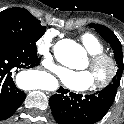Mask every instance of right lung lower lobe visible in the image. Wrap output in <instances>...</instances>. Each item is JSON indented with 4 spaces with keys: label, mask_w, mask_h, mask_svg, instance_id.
<instances>
[{
    "label": "right lung lower lobe",
    "mask_w": 124,
    "mask_h": 124,
    "mask_svg": "<svg viewBox=\"0 0 124 124\" xmlns=\"http://www.w3.org/2000/svg\"><path fill=\"white\" fill-rule=\"evenodd\" d=\"M39 65L36 51L21 43L0 41V120L9 118L24 101L26 94L19 90L12 76L22 68Z\"/></svg>",
    "instance_id": "obj_1"
}]
</instances>
